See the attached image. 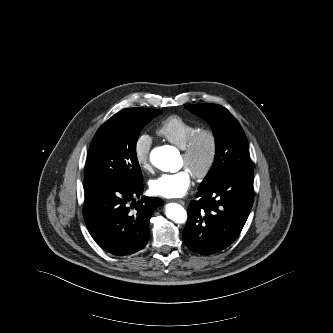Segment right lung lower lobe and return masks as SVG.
I'll return each instance as SVG.
<instances>
[{
    "instance_id": "1",
    "label": "right lung lower lobe",
    "mask_w": 333,
    "mask_h": 333,
    "mask_svg": "<svg viewBox=\"0 0 333 333\" xmlns=\"http://www.w3.org/2000/svg\"><path fill=\"white\" fill-rule=\"evenodd\" d=\"M143 183H125L112 180H85L83 209L86 226L105 251L130 255L145 247L149 239V220L162 199L140 197Z\"/></svg>"
}]
</instances>
